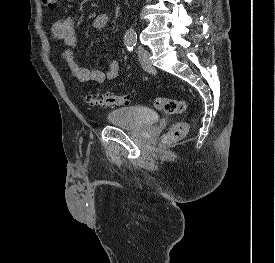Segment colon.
Segmentation results:
<instances>
[{
	"mask_svg": "<svg viewBox=\"0 0 275 263\" xmlns=\"http://www.w3.org/2000/svg\"><path fill=\"white\" fill-rule=\"evenodd\" d=\"M47 8H56L58 0H42ZM86 103L93 107L109 108L129 104L133 101L134 95L128 93H106V94H83ZM156 109L168 115L183 114L188 110V102L185 99H172L158 97L154 100ZM189 120L180 121L174 124L162 137V142L166 145L173 144L182 139L189 131Z\"/></svg>",
	"mask_w": 275,
	"mask_h": 263,
	"instance_id": "5ec220e1",
	"label": "colon"
}]
</instances>
